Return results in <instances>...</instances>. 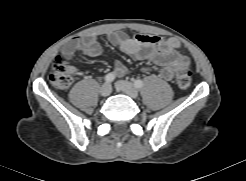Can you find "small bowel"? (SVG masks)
I'll return each mask as SVG.
<instances>
[{
  "label": "small bowel",
  "mask_w": 246,
  "mask_h": 181,
  "mask_svg": "<svg viewBox=\"0 0 246 181\" xmlns=\"http://www.w3.org/2000/svg\"><path fill=\"white\" fill-rule=\"evenodd\" d=\"M149 36L137 35L127 37L122 33H112L108 41L120 48L124 53L139 60H146L160 66L159 75L162 79L170 81L174 78L177 69L189 65L186 56L180 53V42L176 38L145 40ZM103 49L99 41L92 36H85L75 39L71 45L62 52L64 60H71L77 53L86 57H98ZM149 72L150 68H145ZM127 72L126 66L119 60L114 62V73L123 75Z\"/></svg>",
  "instance_id": "c3829d8e"
}]
</instances>
